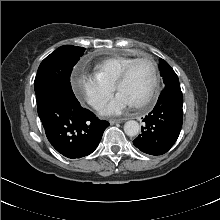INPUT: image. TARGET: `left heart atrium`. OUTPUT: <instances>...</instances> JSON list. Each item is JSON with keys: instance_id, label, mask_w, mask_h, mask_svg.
I'll list each match as a JSON object with an SVG mask.
<instances>
[{"instance_id": "1", "label": "left heart atrium", "mask_w": 220, "mask_h": 220, "mask_svg": "<svg viewBox=\"0 0 220 220\" xmlns=\"http://www.w3.org/2000/svg\"><path fill=\"white\" fill-rule=\"evenodd\" d=\"M132 105L133 103L130 99L119 92L110 102L101 108L100 113L103 115L120 114Z\"/></svg>"}]
</instances>
